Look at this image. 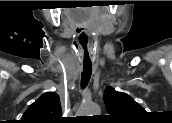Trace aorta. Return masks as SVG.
I'll return each mask as SVG.
<instances>
[{
	"label": "aorta",
	"mask_w": 172,
	"mask_h": 123,
	"mask_svg": "<svg viewBox=\"0 0 172 123\" xmlns=\"http://www.w3.org/2000/svg\"><path fill=\"white\" fill-rule=\"evenodd\" d=\"M83 112L86 116H93L100 114V107L95 103H84Z\"/></svg>",
	"instance_id": "aorta-1"
}]
</instances>
